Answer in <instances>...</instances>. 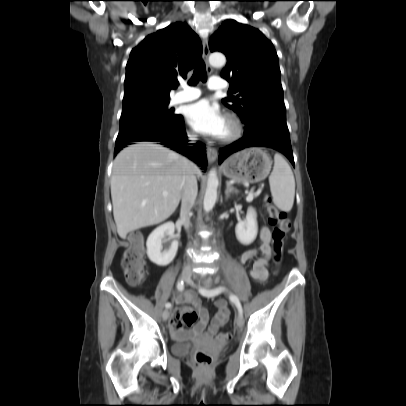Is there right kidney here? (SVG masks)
I'll list each match as a JSON object with an SVG mask.
<instances>
[{"instance_id":"ca27d5eb","label":"right kidney","mask_w":406,"mask_h":406,"mask_svg":"<svg viewBox=\"0 0 406 406\" xmlns=\"http://www.w3.org/2000/svg\"><path fill=\"white\" fill-rule=\"evenodd\" d=\"M175 227L172 222H167L157 227L147 239V255L149 259L158 266L170 264L176 256L178 241L174 238ZM172 239L170 245L163 249L165 236Z\"/></svg>"}]
</instances>
